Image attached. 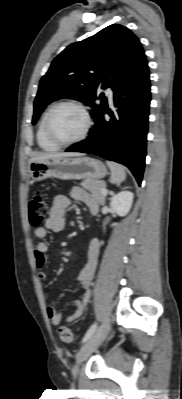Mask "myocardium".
<instances>
[{"label": "myocardium", "mask_w": 182, "mask_h": 399, "mask_svg": "<svg viewBox=\"0 0 182 399\" xmlns=\"http://www.w3.org/2000/svg\"><path fill=\"white\" fill-rule=\"evenodd\" d=\"M64 106H72V107H75V108L79 109L81 111V113L83 114L84 119H85V126H84V129L81 132V134L78 137H76V138H74L72 140H67V141H62V140L57 139L55 137V135L53 134L52 129H51V120H52L53 114L59 108L64 107ZM92 124H93L92 117H91V115L89 113V110L87 109V107L83 103L78 102V101H74V100H66V101H61V102L53 105L49 109V111L47 113V116H46V120H45V133H46L47 138L52 143H54L55 145H57L59 147L60 146H69V145H73V144H76V143H79V142L83 141L87 137V135L89 134V132H90V130L92 128Z\"/></svg>", "instance_id": "obj_1"}]
</instances>
